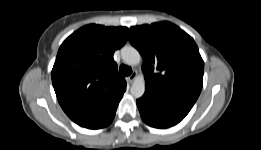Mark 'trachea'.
<instances>
[{
    "label": "trachea",
    "mask_w": 261,
    "mask_h": 150,
    "mask_svg": "<svg viewBox=\"0 0 261 150\" xmlns=\"http://www.w3.org/2000/svg\"><path fill=\"white\" fill-rule=\"evenodd\" d=\"M119 72H120V74L123 75V76H128V75H130V74L132 73V69H131V67H129V66L121 65V66L119 67Z\"/></svg>",
    "instance_id": "obj_1"
}]
</instances>
